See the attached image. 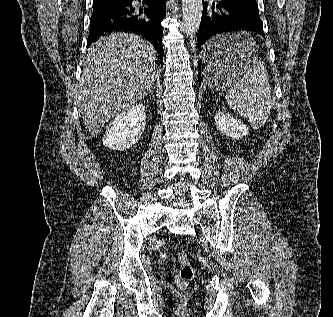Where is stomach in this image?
Returning a JSON list of instances; mask_svg holds the SVG:
<instances>
[{"label": "stomach", "instance_id": "stomach-1", "mask_svg": "<svg viewBox=\"0 0 333 317\" xmlns=\"http://www.w3.org/2000/svg\"><path fill=\"white\" fill-rule=\"evenodd\" d=\"M212 41H205L201 49V62H211L204 75L202 88L222 91L235 88V82H266L244 81V74H254L257 69L258 55H254L256 41L249 29H224V33H211Z\"/></svg>", "mask_w": 333, "mask_h": 317}]
</instances>
